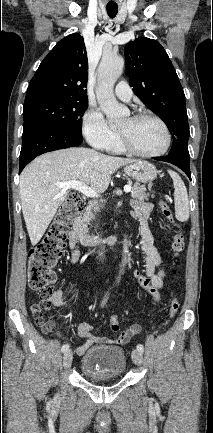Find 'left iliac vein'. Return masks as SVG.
I'll return each mask as SVG.
<instances>
[{
  "mask_svg": "<svg viewBox=\"0 0 213 433\" xmlns=\"http://www.w3.org/2000/svg\"><path fill=\"white\" fill-rule=\"evenodd\" d=\"M132 360L133 362L140 366L143 362V354L141 351H139L138 349L133 350L132 352Z\"/></svg>",
  "mask_w": 213,
  "mask_h": 433,
  "instance_id": "1",
  "label": "left iliac vein"
}]
</instances>
